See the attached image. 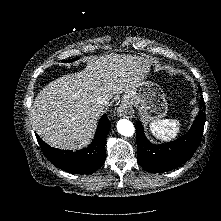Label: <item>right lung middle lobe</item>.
Returning <instances> with one entry per match:
<instances>
[{
	"label": "right lung middle lobe",
	"instance_id": "right-lung-middle-lobe-1",
	"mask_svg": "<svg viewBox=\"0 0 221 221\" xmlns=\"http://www.w3.org/2000/svg\"><path fill=\"white\" fill-rule=\"evenodd\" d=\"M76 60V58H74V59H69V60H66L65 62H72V61H75Z\"/></svg>",
	"mask_w": 221,
	"mask_h": 221
}]
</instances>
